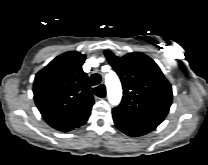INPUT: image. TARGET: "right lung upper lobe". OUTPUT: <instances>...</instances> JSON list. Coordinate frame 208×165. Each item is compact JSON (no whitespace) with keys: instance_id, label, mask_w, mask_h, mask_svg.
I'll use <instances>...</instances> for the list:
<instances>
[{"instance_id":"right-lung-upper-lobe-1","label":"right lung upper lobe","mask_w":208,"mask_h":165,"mask_svg":"<svg viewBox=\"0 0 208 165\" xmlns=\"http://www.w3.org/2000/svg\"><path fill=\"white\" fill-rule=\"evenodd\" d=\"M86 55L69 51L57 56L35 77L34 100L43 119L61 132L85 124L94 104L82 69Z\"/></svg>"}]
</instances>
